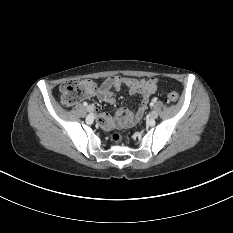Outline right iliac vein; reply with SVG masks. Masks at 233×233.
Masks as SVG:
<instances>
[{"label":"right iliac vein","mask_w":233,"mask_h":233,"mask_svg":"<svg viewBox=\"0 0 233 233\" xmlns=\"http://www.w3.org/2000/svg\"><path fill=\"white\" fill-rule=\"evenodd\" d=\"M86 110H87L88 112L92 113V112H94L95 108H94L93 105H89V106H87Z\"/></svg>","instance_id":"63e3f726"}]
</instances>
